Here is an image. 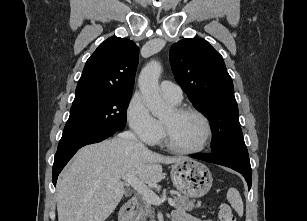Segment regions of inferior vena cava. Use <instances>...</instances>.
I'll use <instances>...</instances> for the list:
<instances>
[{"instance_id": "obj_1", "label": "inferior vena cava", "mask_w": 307, "mask_h": 221, "mask_svg": "<svg viewBox=\"0 0 307 221\" xmlns=\"http://www.w3.org/2000/svg\"><path fill=\"white\" fill-rule=\"evenodd\" d=\"M119 137L123 138V139H127V140H132V141H138L135 134L131 131H126L123 132L119 135Z\"/></svg>"}]
</instances>
